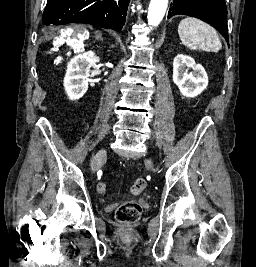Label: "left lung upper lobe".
Instances as JSON below:
<instances>
[{
  "label": "left lung upper lobe",
  "instance_id": "1",
  "mask_svg": "<svg viewBox=\"0 0 256 267\" xmlns=\"http://www.w3.org/2000/svg\"><path fill=\"white\" fill-rule=\"evenodd\" d=\"M179 14L189 15L211 24L229 45L225 0H174L168 18Z\"/></svg>",
  "mask_w": 256,
  "mask_h": 267
}]
</instances>
